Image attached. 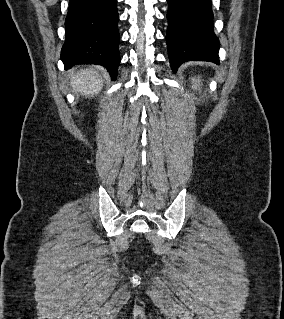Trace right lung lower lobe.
Instances as JSON below:
<instances>
[{"label": "right lung lower lobe", "instance_id": "obj_1", "mask_svg": "<svg viewBox=\"0 0 284 319\" xmlns=\"http://www.w3.org/2000/svg\"><path fill=\"white\" fill-rule=\"evenodd\" d=\"M116 4L117 0H70L61 50L65 68L98 64L116 79L120 63Z\"/></svg>", "mask_w": 284, "mask_h": 319}]
</instances>
